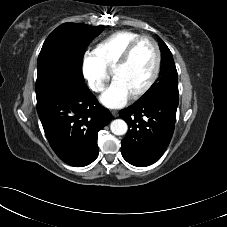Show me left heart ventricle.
<instances>
[{
  "label": "left heart ventricle",
  "mask_w": 227,
  "mask_h": 227,
  "mask_svg": "<svg viewBox=\"0 0 227 227\" xmlns=\"http://www.w3.org/2000/svg\"><path fill=\"white\" fill-rule=\"evenodd\" d=\"M156 62L153 45L143 41L135 49L128 64L114 73L130 95L140 90L151 78Z\"/></svg>",
  "instance_id": "b2bd125f"
}]
</instances>
